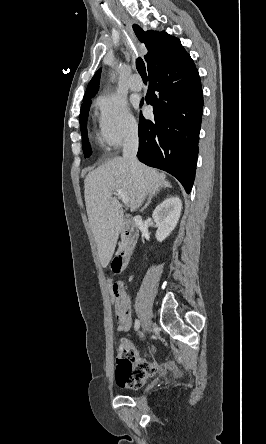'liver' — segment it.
<instances>
[{"instance_id": "6515ba94", "label": "liver", "mask_w": 266, "mask_h": 444, "mask_svg": "<svg viewBox=\"0 0 266 444\" xmlns=\"http://www.w3.org/2000/svg\"><path fill=\"white\" fill-rule=\"evenodd\" d=\"M165 179L164 174L144 164H140V173L134 174L124 157H115L88 173L84 180L85 204L103 268L114 254L123 226L122 206L112 194L116 189L123 190L134 211L141 195L145 198L165 188Z\"/></svg>"}]
</instances>
